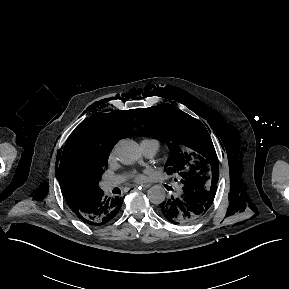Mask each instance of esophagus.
Instances as JSON below:
<instances>
[{
    "instance_id": "1",
    "label": "esophagus",
    "mask_w": 289,
    "mask_h": 289,
    "mask_svg": "<svg viewBox=\"0 0 289 289\" xmlns=\"http://www.w3.org/2000/svg\"><path fill=\"white\" fill-rule=\"evenodd\" d=\"M143 189H148L151 185L150 184H144V185H141ZM137 187H135L136 189ZM139 188V187H138Z\"/></svg>"
}]
</instances>
